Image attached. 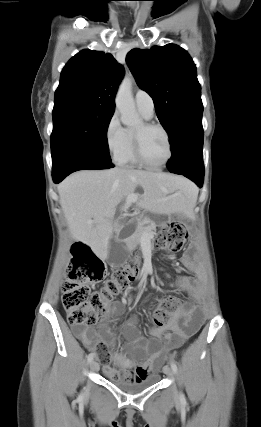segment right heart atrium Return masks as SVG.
<instances>
[{
    "instance_id": "right-heart-atrium-1",
    "label": "right heart atrium",
    "mask_w": 261,
    "mask_h": 427,
    "mask_svg": "<svg viewBox=\"0 0 261 427\" xmlns=\"http://www.w3.org/2000/svg\"><path fill=\"white\" fill-rule=\"evenodd\" d=\"M104 137L108 152L115 160H118L126 148L127 136L126 129L121 125L116 112L106 123Z\"/></svg>"
}]
</instances>
